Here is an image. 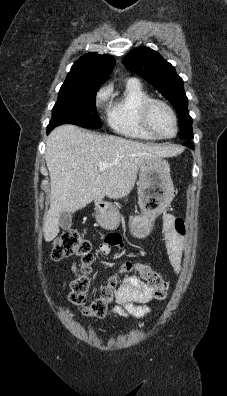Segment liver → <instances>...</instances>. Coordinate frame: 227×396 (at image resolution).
<instances>
[{
  "label": "liver",
  "instance_id": "1",
  "mask_svg": "<svg viewBox=\"0 0 227 396\" xmlns=\"http://www.w3.org/2000/svg\"><path fill=\"white\" fill-rule=\"evenodd\" d=\"M180 152L177 147L99 135L75 125L58 126L46 143L51 199L43 223L45 241L50 242L59 234L61 212L74 213L105 195L111 199L128 195L144 162ZM101 162L111 166L100 171Z\"/></svg>",
  "mask_w": 227,
  "mask_h": 396
}]
</instances>
